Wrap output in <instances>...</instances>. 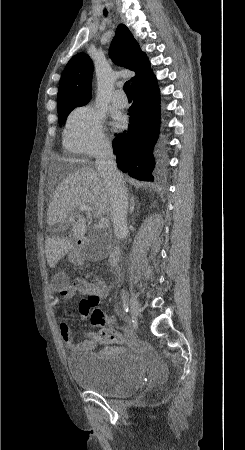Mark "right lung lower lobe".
Masks as SVG:
<instances>
[{
    "label": "right lung lower lobe",
    "instance_id": "obj_1",
    "mask_svg": "<svg viewBox=\"0 0 245 450\" xmlns=\"http://www.w3.org/2000/svg\"><path fill=\"white\" fill-rule=\"evenodd\" d=\"M130 127L113 141L117 166L130 176L153 181L155 166L160 168L164 147L159 140L160 97L152 70L132 86Z\"/></svg>",
    "mask_w": 245,
    "mask_h": 450
}]
</instances>
